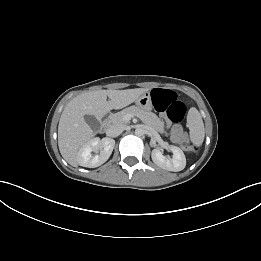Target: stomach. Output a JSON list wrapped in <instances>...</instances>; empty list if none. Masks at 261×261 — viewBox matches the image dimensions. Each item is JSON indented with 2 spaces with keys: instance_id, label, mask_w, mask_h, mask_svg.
<instances>
[{
  "instance_id": "stomach-1",
  "label": "stomach",
  "mask_w": 261,
  "mask_h": 261,
  "mask_svg": "<svg viewBox=\"0 0 261 261\" xmlns=\"http://www.w3.org/2000/svg\"><path fill=\"white\" fill-rule=\"evenodd\" d=\"M136 105L144 110V111H150L152 109V100L151 96L148 92H145L142 94L136 101Z\"/></svg>"
}]
</instances>
